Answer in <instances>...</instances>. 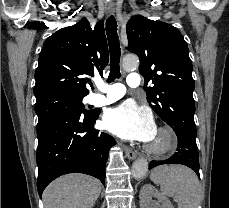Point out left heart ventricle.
Masks as SVG:
<instances>
[{
	"label": "left heart ventricle",
	"mask_w": 229,
	"mask_h": 208,
	"mask_svg": "<svg viewBox=\"0 0 229 208\" xmlns=\"http://www.w3.org/2000/svg\"><path fill=\"white\" fill-rule=\"evenodd\" d=\"M165 138H168L165 134L162 133H155L153 138L149 141V144L154 145L156 147H160V142H165ZM167 144V143H166Z\"/></svg>",
	"instance_id": "b2bd125f"
}]
</instances>
